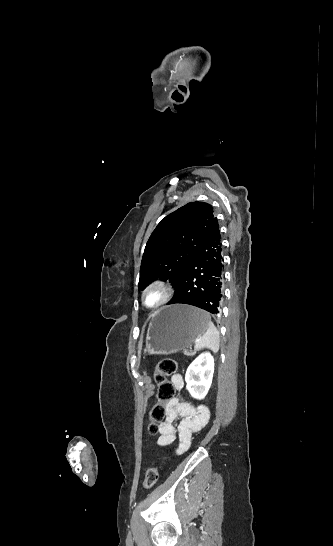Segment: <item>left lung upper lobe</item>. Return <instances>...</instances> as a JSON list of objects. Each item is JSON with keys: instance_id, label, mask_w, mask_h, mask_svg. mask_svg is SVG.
Listing matches in <instances>:
<instances>
[{"instance_id": "1", "label": "left lung upper lobe", "mask_w": 333, "mask_h": 546, "mask_svg": "<svg viewBox=\"0 0 333 546\" xmlns=\"http://www.w3.org/2000/svg\"><path fill=\"white\" fill-rule=\"evenodd\" d=\"M214 220L213 207L203 202L188 203L162 219L145 247L139 289L157 278L176 288Z\"/></svg>"}]
</instances>
